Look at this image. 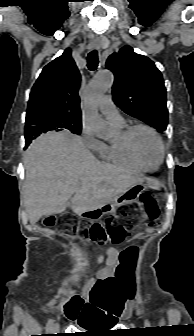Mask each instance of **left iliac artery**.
Listing matches in <instances>:
<instances>
[{
  "mask_svg": "<svg viewBox=\"0 0 194 336\" xmlns=\"http://www.w3.org/2000/svg\"><path fill=\"white\" fill-rule=\"evenodd\" d=\"M145 325L147 326V327H150V322L146 319L145 320Z\"/></svg>",
  "mask_w": 194,
  "mask_h": 336,
  "instance_id": "1",
  "label": "left iliac artery"
}]
</instances>
